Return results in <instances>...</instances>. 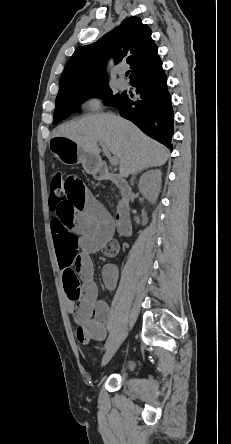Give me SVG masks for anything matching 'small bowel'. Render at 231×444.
Segmentation results:
<instances>
[{"mask_svg":"<svg viewBox=\"0 0 231 444\" xmlns=\"http://www.w3.org/2000/svg\"><path fill=\"white\" fill-rule=\"evenodd\" d=\"M65 187L64 198L50 199L54 213L51 232L67 309L76 324V337L81 344H88L107 337L111 317L109 306L98 297L90 255L102 252L106 257H113L119 245L113 239L110 217L83 181L71 175L66 178ZM102 279L109 290L114 289L118 281L117 267L105 265Z\"/></svg>","mask_w":231,"mask_h":444,"instance_id":"c3829d8e","label":"small bowel"}]
</instances>
